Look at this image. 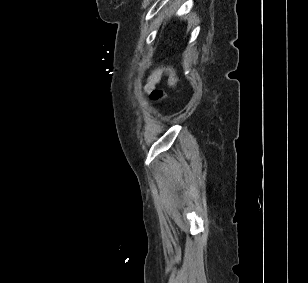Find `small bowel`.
I'll return each instance as SVG.
<instances>
[{
	"label": "small bowel",
	"mask_w": 308,
	"mask_h": 283,
	"mask_svg": "<svg viewBox=\"0 0 308 283\" xmlns=\"http://www.w3.org/2000/svg\"><path fill=\"white\" fill-rule=\"evenodd\" d=\"M162 75V69H155L152 74L148 77L147 83L145 85V91L152 90L160 81Z\"/></svg>",
	"instance_id": "c3829d8e"
}]
</instances>
